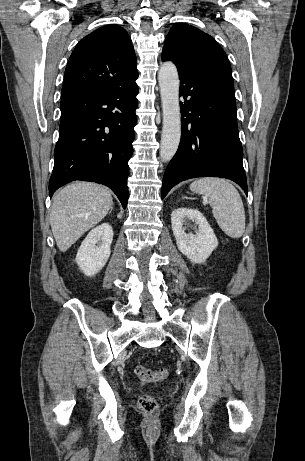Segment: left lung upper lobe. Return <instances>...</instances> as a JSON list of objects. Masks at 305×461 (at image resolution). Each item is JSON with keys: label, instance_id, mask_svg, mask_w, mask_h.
I'll list each match as a JSON object with an SVG mask.
<instances>
[{"label": "left lung upper lobe", "instance_id": "1", "mask_svg": "<svg viewBox=\"0 0 305 461\" xmlns=\"http://www.w3.org/2000/svg\"><path fill=\"white\" fill-rule=\"evenodd\" d=\"M163 61H172L178 74L193 77L223 74L232 77L229 60L210 35L186 24L174 25L165 39Z\"/></svg>", "mask_w": 305, "mask_h": 461}]
</instances>
